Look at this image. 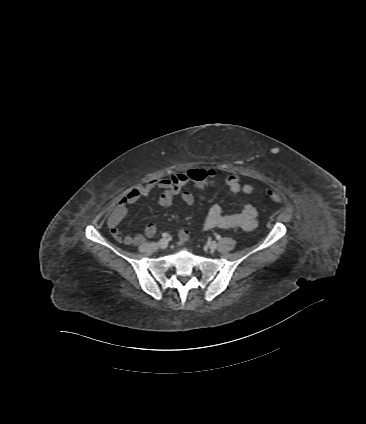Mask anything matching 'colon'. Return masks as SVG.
I'll use <instances>...</instances> for the list:
<instances>
[{
	"instance_id": "colon-1",
	"label": "colon",
	"mask_w": 366,
	"mask_h": 424,
	"mask_svg": "<svg viewBox=\"0 0 366 424\" xmlns=\"http://www.w3.org/2000/svg\"><path fill=\"white\" fill-rule=\"evenodd\" d=\"M187 176L191 181L200 185L204 183L211 176V174L209 170L201 169V170H191L187 172ZM243 189L245 193L250 194L254 191L255 186L252 184H243ZM266 193L273 201L277 203L282 202L281 196L274 189L269 188L266 190Z\"/></svg>"
}]
</instances>
